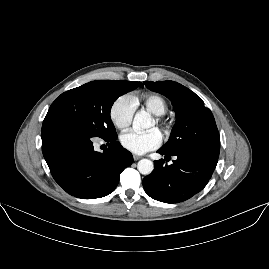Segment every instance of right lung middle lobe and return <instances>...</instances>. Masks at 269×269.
<instances>
[{"label":"right lung middle lobe","mask_w":269,"mask_h":269,"mask_svg":"<svg viewBox=\"0 0 269 269\" xmlns=\"http://www.w3.org/2000/svg\"><path fill=\"white\" fill-rule=\"evenodd\" d=\"M139 83L108 85L92 81L62 93L50 106L46 117L66 120L90 137L117 138L110 110L115 100L137 88Z\"/></svg>","instance_id":"right-lung-middle-lobe-1"}]
</instances>
